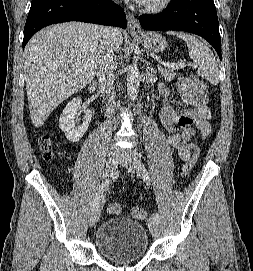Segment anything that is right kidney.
Listing matches in <instances>:
<instances>
[{"label": "right kidney", "instance_id": "ca27d5eb", "mask_svg": "<svg viewBox=\"0 0 253 271\" xmlns=\"http://www.w3.org/2000/svg\"><path fill=\"white\" fill-rule=\"evenodd\" d=\"M84 112L85 116L83 123L79 126H75V118L79 112ZM92 118V112L82 108V100L80 98H73L60 115L59 127L65 133L66 138L70 142H78L86 133L90 121Z\"/></svg>", "mask_w": 253, "mask_h": 271}]
</instances>
